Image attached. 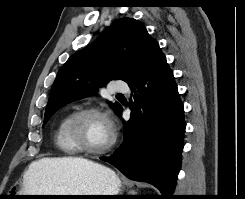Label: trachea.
Returning <instances> with one entry per match:
<instances>
[{
    "instance_id": "trachea-1",
    "label": "trachea",
    "mask_w": 245,
    "mask_h": 199,
    "mask_svg": "<svg viewBox=\"0 0 245 199\" xmlns=\"http://www.w3.org/2000/svg\"><path fill=\"white\" fill-rule=\"evenodd\" d=\"M117 96H123L122 94H117Z\"/></svg>"
}]
</instances>
